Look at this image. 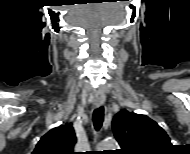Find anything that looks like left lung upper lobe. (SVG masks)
Wrapping results in <instances>:
<instances>
[{
  "label": "left lung upper lobe",
  "mask_w": 190,
  "mask_h": 154,
  "mask_svg": "<svg viewBox=\"0 0 190 154\" xmlns=\"http://www.w3.org/2000/svg\"><path fill=\"white\" fill-rule=\"evenodd\" d=\"M112 128L120 154H163L172 147L166 132L146 115L120 110Z\"/></svg>",
  "instance_id": "left-lung-upper-lobe-1"
}]
</instances>
